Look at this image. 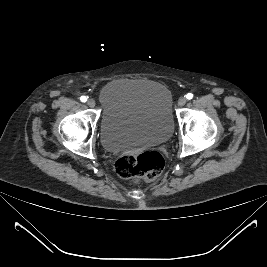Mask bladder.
I'll return each instance as SVG.
<instances>
[{"mask_svg":"<svg viewBox=\"0 0 267 267\" xmlns=\"http://www.w3.org/2000/svg\"><path fill=\"white\" fill-rule=\"evenodd\" d=\"M103 147L119 152L166 142L174 128L172 95L163 84L116 79L99 93Z\"/></svg>","mask_w":267,"mask_h":267,"instance_id":"obj_1","label":"bladder"}]
</instances>
